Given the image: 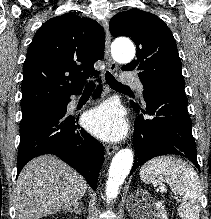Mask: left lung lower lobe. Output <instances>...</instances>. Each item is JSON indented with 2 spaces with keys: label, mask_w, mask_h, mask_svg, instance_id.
Returning a JSON list of instances; mask_svg holds the SVG:
<instances>
[{
  "label": "left lung lower lobe",
  "mask_w": 211,
  "mask_h": 219,
  "mask_svg": "<svg viewBox=\"0 0 211 219\" xmlns=\"http://www.w3.org/2000/svg\"><path fill=\"white\" fill-rule=\"evenodd\" d=\"M146 110L132 104L136 111L153 116H138L134 124L135 161L130 174L149 159L175 154L188 158L199 169L188 100L183 88L158 87L143 91Z\"/></svg>",
  "instance_id": "1"
}]
</instances>
